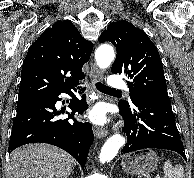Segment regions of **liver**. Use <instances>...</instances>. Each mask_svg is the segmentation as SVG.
Segmentation results:
<instances>
[{
  "label": "liver",
  "mask_w": 194,
  "mask_h": 178,
  "mask_svg": "<svg viewBox=\"0 0 194 178\" xmlns=\"http://www.w3.org/2000/svg\"><path fill=\"white\" fill-rule=\"evenodd\" d=\"M75 165V159L58 147L27 144L11 153L7 178H67Z\"/></svg>",
  "instance_id": "6515ba94"
}]
</instances>
